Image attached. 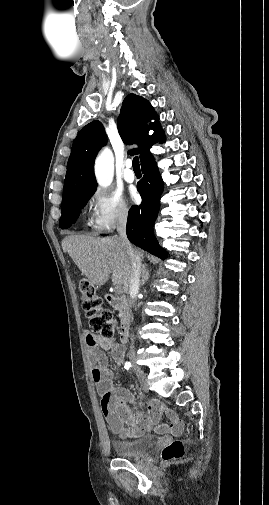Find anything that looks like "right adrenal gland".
<instances>
[{
    "mask_svg": "<svg viewBox=\"0 0 269 505\" xmlns=\"http://www.w3.org/2000/svg\"><path fill=\"white\" fill-rule=\"evenodd\" d=\"M149 279V271L146 267V264L143 265V273H142V280H141V286L145 284V282Z\"/></svg>",
    "mask_w": 269,
    "mask_h": 505,
    "instance_id": "2a0ac1e0",
    "label": "right adrenal gland"
}]
</instances>
